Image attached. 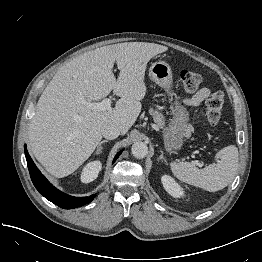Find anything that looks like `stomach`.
<instances>
[{
	"mask_svg": "<svg viewBox=\"0 0 262 262\" xmlns=\"http://www.w3.org/2000/svg\"><path fill=\"white\" fill-rule=\"evenodd\" d=\"M149 78L157 85L162 87L171 97L175 96L176 100L172 107L173 119L163 130V139L167 150L180 149L184 137L189 134L190 125L189 112L178 101V97L171 91L173 83V74L171 67L164 61H158L149 68Z\"/></svg>",
	"mask_w": 262,
	"mask_h": 262,
	"instance_id": "1",
	"label": "stomach"
}]
</instances>
